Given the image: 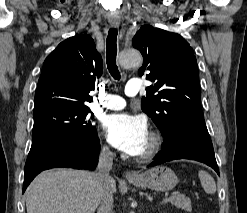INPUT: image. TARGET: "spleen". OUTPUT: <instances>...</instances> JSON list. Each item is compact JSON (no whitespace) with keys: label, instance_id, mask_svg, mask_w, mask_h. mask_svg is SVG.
<instances>
[{"label":"spleen","instance_id":"1","mask_svg":"<svg viewBox=\"0 0 247 213\" xmlns=\"http://www.w3.org/2000/svg\"><path fill=\"white\" fill-rule=\"evenodd\" d=\"M198 176L205 192L208 194H214L216 192V184L211 175L206 171L200 170Z\"/></svg>","mask_w":247,"mask_h":213}]
</instances>
